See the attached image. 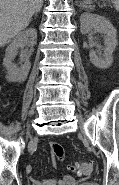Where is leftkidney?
<instances>
[{
    "label": "left kidney",
    "instance_id": "obj_1",
    "mask_svg": "<svg viewBox=\"0 0 119 185\" xmlns=\"http://www.w3.org/2000/svg\"><path fill=\"white\" fill-rule=\"evenodd\" d=\"M80 31L82 34H87L91 30L103 34L105 44L104 53L95 50H90L89 56L91 63L99 69H107L113 62V51L117 45V30L111 22L97 14L83 13L80 16Z\"/></svg>",
    "mask_w": 119,
    "mask_h": 185
}]
</instances>
